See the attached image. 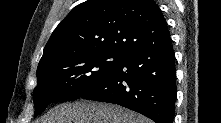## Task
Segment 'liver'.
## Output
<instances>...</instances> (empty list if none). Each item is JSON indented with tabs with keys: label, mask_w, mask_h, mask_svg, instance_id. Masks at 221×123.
Returning a JSON list of instances; mask_svg holds the SVG:
<instances>
[{
	"label": "liver",
	"mask_w": 221,
	"mask_h": 123,
	"mask_svg": "<svg viewBox=\"0 0 221 123\" xmlns=\"http://www.w3.org/2000/svg\"><path fill=\"white\" fill-rule=\"evenodd\" d=\"M42 123H151V121L117 105L80 100L55 106Z\"/></svg>",
	"instance_id": "liver-1"
}]
</instances>
